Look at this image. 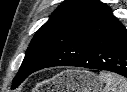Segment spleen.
<instances>
[{"mask_svg":"<svg viewBox=\"0 0 127 92\" xmlns=\"http://www.w3.org/2000/svg\"><path fill=\"white\" fill-rule=\"evenodd\" d=\"M99 79L105 84L101 92H127V79L110 72H100Z\"/></svg>","mask_w":127,"mask_h":92,"instance_id":"3e777b00","label":"spleen"}]
</instances>
